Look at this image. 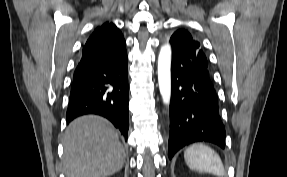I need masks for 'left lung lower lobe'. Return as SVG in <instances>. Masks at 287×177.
<instances>
[{"mask_svg":"<svg viewBox=\"0 0 287 177\" xmlns=\"http://www.w3.org/2000/svg\"><path fill=\"white\" fill-rule=\"evenodd\" d=\"M172 46L168 157L185 145L208 141L225 147V129L209 71L190 63Z\"/></svg>","mask_w":287,"mask_h":177,"instance_id":"obj_1","label":"left lung lower lobe"}]
</instances>
